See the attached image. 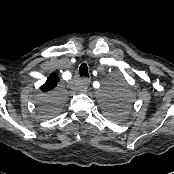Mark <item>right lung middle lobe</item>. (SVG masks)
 <instances>
[{
	"instance_id": "right-lung-middle-lobe-1",
	"label": "right lung middle lobe",
	"mask_w": 174,
	"mask_h": 174,
	"mask_svg": "<svg viewBox=\"0 0 174 174\" xmlns=\"http://www.w3.org/2000/svg\"><path fill=\"white\" fill-rule=\"evenodd\" d=\"M63 99L56 92L48 93L38 100V109L42 116L48 117L60 111Z\"/></svg>"
}]
</instances>
